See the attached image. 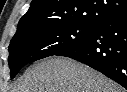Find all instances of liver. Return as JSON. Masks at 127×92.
I'll list each match as a JSON object with an SVG mask.
<instances>
[{
	"label": "liver",
	"mask_w": 127,
	"mask_h": 92,
	"mask_svg": "<svg viewBox=\"0 0 127 92\" xmlns=\"http://www.w3.org/2000/svg\"><path fill=\"white\" fill-rule=\"evenodd\" d=\"M13 92H124L98 71L66 57H50L29 67Z\"/></svg>",
	"instance_id": "6515ba94"
}]
</instances>
